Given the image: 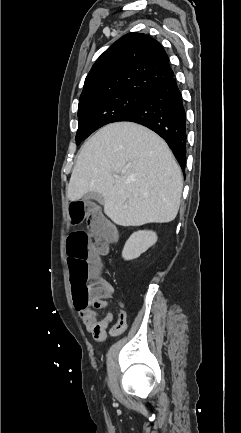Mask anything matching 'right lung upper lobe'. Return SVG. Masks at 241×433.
<instances>
[{"label": "right lung upper lobe", "instance_id": "1", "mask_svg": "<svg viewBox=\"0 0 241 433\" xmlns=\"http://www.w3.org/2000/svg\"><path fill=\"white\" fill-rule=\"evenodd\" d=\"M174 73L161 44L142 33H129L112 44L87 75L80 101L125 91L144 92Z\"/></svg>", "mask_w": 241, "mask_h": 433}]
</instances>
